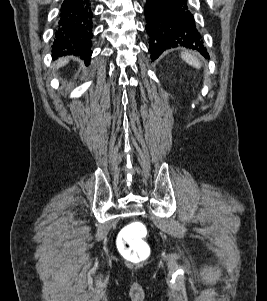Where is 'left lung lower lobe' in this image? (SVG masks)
<instances>
[{
  "label": "left lung lower lobe",
  "mask_w": 267,
  "mask_h": 301,
  "mask_svg": "<svg viewBox=\"0 0 267 301\" xmlns=\"http://www.w3.org/2000/svg\"><path fill=\"white\" fill-rule=\"evenodd\" d=\"M144 13L153 61L172 47L190 48L209 57L187 0H146Z\"/></svg>",
  "instance_id": "left-lung-lower-lobe-1"
}]
</instances>
